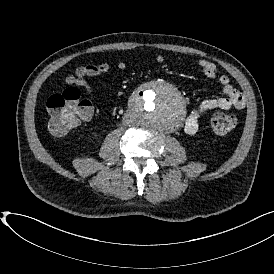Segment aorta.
I'll return each instance as SVG.
<instances>
[{
  "label": "aorta",
  "instance_id": "1",
  "mask_svg": "<svg viewBox=\"0 0 274 274\" xmlns=\"http://www.w3.org/2000/svg\"><path fill=\"white\" fill-rule=\"evenodd\" d=\"M130 111L138 125L159 132L174 131L186 114L181 93L162 80L151 81L139 89L130 100Z\"/></svg>",
  "mask_w": 274,
  "mask_h": 274
}]
</instances>
